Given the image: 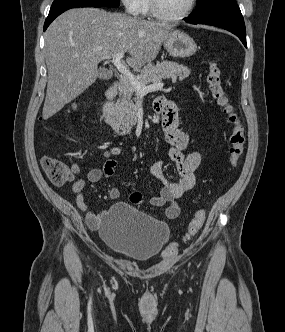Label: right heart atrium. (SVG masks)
<instances>
[{
  "label": "right heart atrium",
  "instance_id": "obj_1",
  "mask_svg": "<svg viewBox=\"0 0 285 332\" xmlns=\"http://www.w3.org/2000/svg\"><path fill=\"white\" fill-rule=\"evenodd\" d=\"M125 11L130 15H138L142 11L144 0H121Z\"/></svg>",
  "mask_w": 285,
  "mask_h": 332
}]
</instances>
